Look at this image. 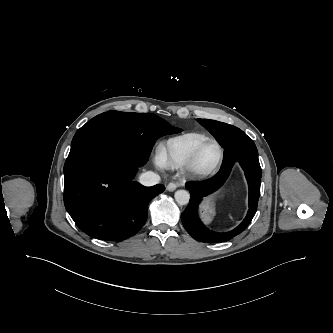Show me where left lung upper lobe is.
<instances>
[{"label": "left lung upper lobe", "instance_id": "left-lung-upper-lobe-1", "mask_svg": "<svg viewBox=\"0 0 333 333\" xmlns=\"http://www.w3.org/2000/svg\"><path fill=\"white\" fill-rule=\"evenodd\" d=\"M197 121L215 137L223 148L232 137L243 133L239 128L223 122L208 119H197Z\"/></svg>", "mask_w": 333, "mask_h": 333}]
</instances>
